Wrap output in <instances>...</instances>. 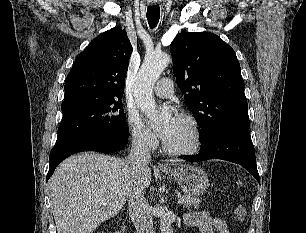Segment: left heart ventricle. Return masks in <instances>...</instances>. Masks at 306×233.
I'll use <instances>...</instances> for the list:
<instances>
[{
  "instance_id": "obj_1",
  "label": "left heart ventricle",
  "mask_w": 306,
  "mask_h": 233,
  "mask_svg": "<svg viewBox=\"0 0 306 233\" xmlns=\"http://www.w3.org/2000/svg\"><path fill=\"white\" fill-rule=\"evenodd\" d=\"M167 146L176 150H183L192 147L194 143V133L190 124L179 118L175 127L165 140Z\"/></svg>"
}]
</instances>
